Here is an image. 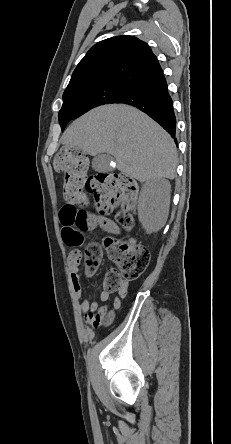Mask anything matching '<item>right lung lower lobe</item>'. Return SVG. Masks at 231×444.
I'll list each match as a JSON object with an SVG mask.
<instances>
[{
    "mask_svg": "<svg viewBox=\"0 0 231 444\" xmlns=\"http://www.w3.org/2000/svg\"><path fill=\"white\" fill-rule=\"evenodd\" d=\"M115 103H125L137 107L175 138L176 117L163 74L136 84Z\"/></svg>",
    "mask_w": 231,
    "mask_h": 444,
    "instance_id": "98d812e1",
    "label": "right lung lower lobe"
}]
</instances>
